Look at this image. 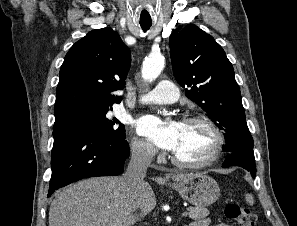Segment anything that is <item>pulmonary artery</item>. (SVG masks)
Returning <instances> with one entry per match:
<instances>
[{"label": "pulmonary artery", "instance_id": "e3ab8cb5", "mask_svg": "<svg viewBox=\"0 0 297 226\" xmlns=\"http://www.w3.org/2000/svg\"><path fill=\"white\" fill-rule=\"evenodd\" d=\"M179 99L178 88L168 80L160 81L147 95L141 97L142 103L171 104Z\"/></svg>", "mask_w": 297, "mask_h": 226}]
</instances>
